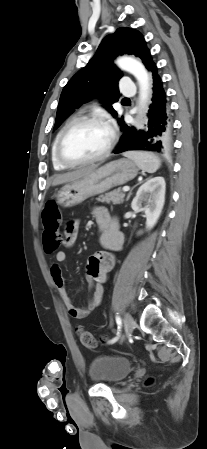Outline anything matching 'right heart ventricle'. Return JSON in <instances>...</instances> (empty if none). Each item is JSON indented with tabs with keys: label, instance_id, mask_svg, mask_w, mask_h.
<instances>
[{
	"label": "right heart ventricle",
	"instance_id": "e07e8e85",
	"mask_svg": "<svg viewBox=\"0 0 207 449\" xmlns=\"http://www.w3.org/2000/svg\"><path fill=\"white\" fill-rule=\"evenodd\" d=\"M62 129L56 135V137H55V139H54V141L52 143V147H51V161H52V165H53L55 170H64V169L67 168V167L63 166L62 164H60V162L58 161V159L56 157V152H55L57 139H58L59 134L61 133Z\"/></svg>",
	"mask_w": 207,
	"mask_h": 449
}]
</instances>
